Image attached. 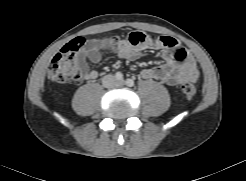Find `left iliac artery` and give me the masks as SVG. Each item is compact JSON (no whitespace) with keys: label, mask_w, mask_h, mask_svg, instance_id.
<instances>
[{"label":"left iliac artery","mask_w":246,"mask_h":181,"mask_svg":"<svg viewBox=\"0 0 246 181\" xmlns=\"http://www.w3.org/2000/svg\"><path fill=\"white\" fill-rule=\"evenodd\" d=\"M126 85L129 86V87H132V86H134V81L132 79H127L126 80Z\"/></svg>","instance_id":"1"}]
</instances>
